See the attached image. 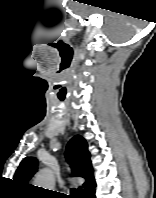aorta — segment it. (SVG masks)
<instances>
[{
	"mask_svg": "<svg viewBox=\"0 0 156 198\" xmlns=\"http://www.w3.org/2000/svg\"><path fill=\"white\" fill-rule=\"evenodd\" d=\"M55 183V176L51 169L45 168L41 170L35 177V186L51 190Z\"/></svg>",
	"mask_w": 156,
	"mask_h": 198,
	"instance_id": "762f6f07",
	"label": "aorta"
}]
</instances>
